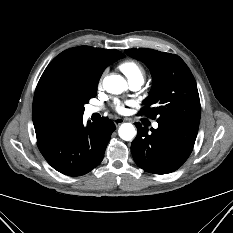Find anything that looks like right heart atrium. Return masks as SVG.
Here are the masks:
<instances>
[{"label":"right heart atrium","instance_id":"obj_1","mask_svg":"<svg viewBox=\"0 0 233 233\" xmlns=\"http://www.w3.org/2000/svg\"><path fill=\"white\" fill-rule=\"evenodd\" d=\"M99 86H101V80L99 81Z\"/></svg>","mask_w":233,"mask_h":233}]
</instances>
